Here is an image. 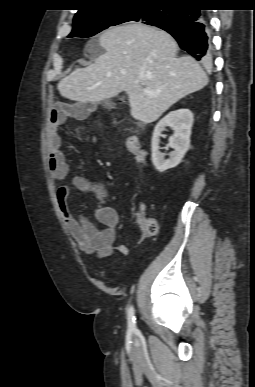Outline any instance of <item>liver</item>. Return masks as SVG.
Here are the masks:
<instances>
[{
	"instance_id": "obj_1",
	"label": "liver",
	"mask_w": 255,
	"mask_h": 387,
	"mask_svg": "<svg viewBox=\"0 0 255 387\" xmlns=\"http://www.w3.org/2000/svg\"><path fill=\"white\" fill-rule=\"evenodd\" d=\"M105 53L58 83L62 97L78 103L99 102L124 91L131 116L156 121L173 104L204 88L208 77L190 56L177 57L178 45L167 32L130 23L102 33ZM146 89L155 93L150 96Z\"/></svg>"
}]
</instances>
